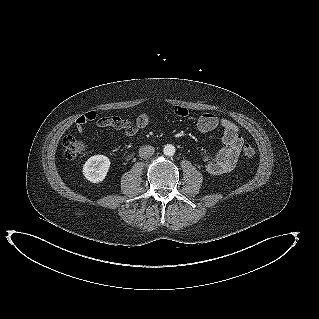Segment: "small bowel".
<instances>
[{
    "label": "small bowel",
    "mask_w": 319,
    "mask_h": 319,
    "mask_svg": "<svg viewBox=\"0 0 319 319\" xmlns=\"http://www.w3.org/2000/svg\"><path fill=\"white\" fill-rule=\"evenodd\" d=\"M173 113L181 118L188 115V110L183 106H174ZM95 118V117H94ZM93 120V119H92ZM150 117L148 113H140L134 121L123 119L118 116H107L99 118L96 121L97 126L105 128L112 127L121 130L125 137L134 136L140 129L145 128L149 123ZM84 125L76 123L78 132L84 131ZM198 130L207 134L216 128L222 129V146L215 152L206 154L203 162L208 172L212 174H220L230 171L237 163L244 140L238 127L232 121L219 118L215 114L205 113L201 115L197 121Z\"/></svg>",
    "instance_id": "c3829d8e"
}]
</instances>
